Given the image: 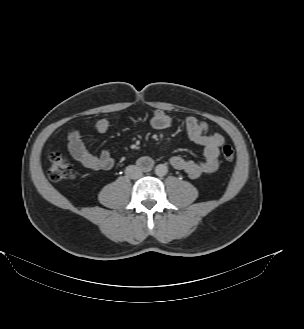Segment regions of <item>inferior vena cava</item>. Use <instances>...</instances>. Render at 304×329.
Returning <instances> with one entry per match:
<instances>
[{
    "instance_id": "1",
    "label": "inferior vena cava",
    "mask_w": 304,
    "mask_h": 329,
    "mask_svg": "<svg viewBox=\"0 0 304 329\" xmlns=\"http://www.w3.org/2000/svg\"><path fill=\"white\" fill-rule=\"evenodd\" d=\"M125 174L131 179H138L142 176V170L135 165H130L126 167Z\"/></svg>"
}]
</instances>
